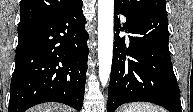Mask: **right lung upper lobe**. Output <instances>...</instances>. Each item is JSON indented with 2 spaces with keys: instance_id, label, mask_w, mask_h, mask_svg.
<instances>
[{
  "instance_id": "1",
  "label": "right lung upper lobe",
  "mask_w": 193,
  "mask_h": 112,
  "mask_svg": "<svg viewBox=\"0 0 193 112\" xmlns=\"http://www.w3.org/2000/svg\"><path fill=\"white\" fill-rule=\"evenodd\" d=\"M79 0H21L18 32L67 10Z\"/></svg>"
}]
</instances>
